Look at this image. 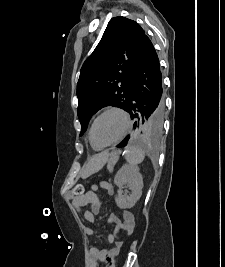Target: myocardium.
<instances>
[{
	"instance_id": "obj_1",
	"label": "myocardium",
	"mask_w": 225,
	"mask_h": 267,
	"mask_svg": "<svg viewBox=\"0 0 225 267\" xmlns=\"http://www.w3.org/2000/svg\"><path fill=\"white\" fill-rule=\"evenodd\" d=\"M110 112H115V113H118V114H120L122 116V118L124 120L123 131L120 134V136L118 138H116L115 140H113V141H111L109 143L103 144V145H97L93 141V129H94L95 123L97 122V120L100 117H102L103 115H105L107 113H110ZM130 128H131V118H130L129 113L125 109H123L121 107L111 106V107H108V108L104 109L103 111H101L93 119V121L91 123V126L89 128L88 139H89V142H90V144H91V146L93 148H95V149H104V148H107V147H110V146H113V145H116V144L120 143L127 136V134L130 131Z\"/></svg>"
}]
</instances>
